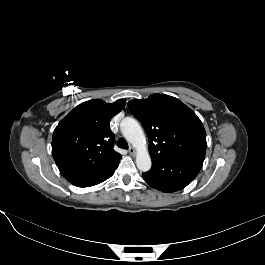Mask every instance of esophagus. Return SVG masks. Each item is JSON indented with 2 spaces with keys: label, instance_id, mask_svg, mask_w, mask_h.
<instances>
[{
  "label": "esophagus",
  "instance_id": "34e87169",
  "mask_svg": "<svg viewBox=\"0 0 265 265\" xmlns=\"http://www.w3.org/2000/svg\"><path fill=\"white\" fill-rule=\"evenodd\" d=\"M129 154H130V155H135V154H136L135 149L132 148V147H130V148H129Z\"/></svg>",
  "mask_w": 265,
  "mask_h": 265
}]
</instances>
